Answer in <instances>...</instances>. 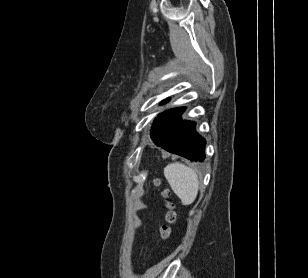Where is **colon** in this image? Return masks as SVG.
<instances>
[{"instance_id":"1","label":"colon","mask_w":308,"mask_h":278,"mask_svg":"<svg viewBox=\"0 0 308 278\" xmlns=\"http://www.w3.org/2000/svg\"><path fill=\"white\" fill-rule=\"evenodd\" d=\"M163 195L165 197H168L169 191L165 190ZM168 208H169V211L166 215V219H167L168 223H173L176 220V213L174 211V205L172 203H168ZM170 232H171V230H170L169 226L165 225V226L162 227L161 233H162L163 237H168Z\"/></svg>"}]
</instances>
